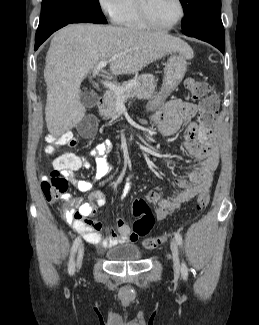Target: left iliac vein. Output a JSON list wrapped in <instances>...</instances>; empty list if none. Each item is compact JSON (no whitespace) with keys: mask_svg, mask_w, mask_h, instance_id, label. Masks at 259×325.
<instances>
[{"mask_svg":"<svg viewBox=\"0 0 259 325\" xmlns=\"http://www.w3.org/2000/svg\"><path fill=\"white\" fill-rule=\"evenodd\" d=\"M170 249L172 252V260H173V270L176 276L180 275V260H179V252L177 242L172 239L170 244Z\"/></svg>","mask_w":259,"mask_h":325,"instance_id":"4c4485c4","label":"left iliac vein"}]
</instances>
